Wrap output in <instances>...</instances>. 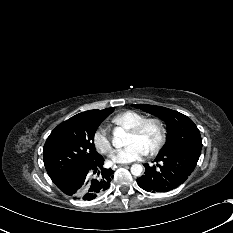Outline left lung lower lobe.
<instances>
[{"label":"left lung lower lobe","instance_id":"left-lung-lower-lobe-1","mask_svg":"<svg viewBox=\"0 0 233 233\" xmlns=\"http://www.w3.org/2000/svg\"><path fill=\"white\" fill-rule=\"evenodd\" d=\"M199 157L180 152H160L157 165L144 164L145 173L137 179L138 185L147 192H167L184 183L193 172Z\"/></svg>","mask_w":233,"mask_h":233}]
</instances>
